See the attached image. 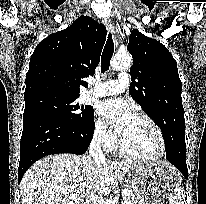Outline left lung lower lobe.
Instances as JSON below:
<instances>
[{
	"label": "left lung lower lobe",
	"instance_id": "0a47b994",
	"mask_svg": "<svg viewBox=\"0 0 206 204\" xmlns=\"http://www.w3.org/2000/svg\"><path fill=\"white\" fill-rule=\"evenodd\" d=\"M166 158L171 162L179 171L188 178V169L186 165V144L185 138L174 137L165 141Z\"/></svg>",
	"mask_w": 206,
	"mask_h": 204
}]
</instances>
